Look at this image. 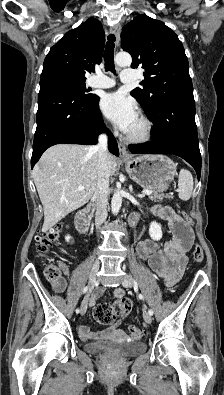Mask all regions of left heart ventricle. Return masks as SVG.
I'll list each match as a JSON object with an SVG mask.
<instances>
[{"instance_id":"1","label":"left heart ventricle","mask_w":224,"mask_h":395,"mask_svg":"<svg viewBox=\"0 0 224 395\" xmlns=\"http://www.w3.org/2000/svg\"><path fill=\"white\" fill-rule=\"evenodd\" d=\"M139 127H140V123H139V121L137 120V121L133 124V126L131 127V129L128 131V133H133V132L138 131V130H139Z\"/></svg>"}]
</instances>
